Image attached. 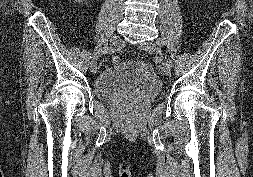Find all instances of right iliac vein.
<instances>
[{
	"label": "right iliac vein",
	"instance_id": "obj_1",
	"mask_svg": "<svg viewBox=\"0 0 253 177\" xmlns=\"http://www.w3.org/2000/svg\"><path fill=\"white\" fill-rule=\"evenodd\" d=\"M110 43L112 46H120L121 43H122V39L119 35H114L111 40H110ZM92 64H95V67H92ZM91 71L92 73H96L98 71V65H97V61H92L91 60Z\"/></svg>",
	"mask_w": 253,
	"mask_h": 177
}]
</instances>
